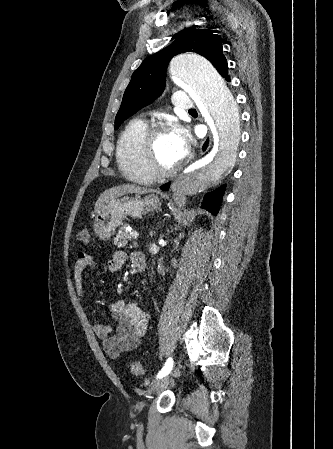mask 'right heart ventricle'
<instances>
[{"mask_svg": "<svg viewBox=\"0 0 333 449\" xmlns=\"http://www.w3.org/2000/svg\"><path fill=\"white\" fill-rule=\"evenodd\" d=\"M148 130L144 120L136 119L127 124L116 145V161L123 175L130 181L149 184L154 178L144 166L142 140Z\"/></svg>", "mask_w": 333, "mask_h": 449, "instance_id": "e07e8e85", "label": "right heart ventricle"}]
</instances>
